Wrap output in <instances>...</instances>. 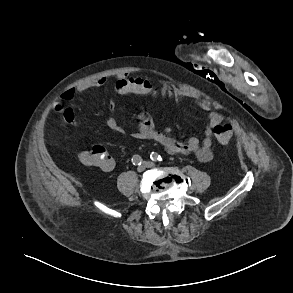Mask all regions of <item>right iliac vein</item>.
Wrapping results in <instances>:
<instances>
[{
	"label": "right iliac vein",
	"mask_w": 293,
	"mask_h": 293,
	"mask_svg": "<svg viewBox=\"0 0 293 293\" xmlns=\"http://www.w3.org/2000/svg\"><path fill=\"white\" fill-rule=\"evenodd\" d=\"M144 170H145V166L143 164L138 167L139 172H143Z\"/></svg>",
	"instance_id": "right-iliac-vein-1"
}]
</instances>
